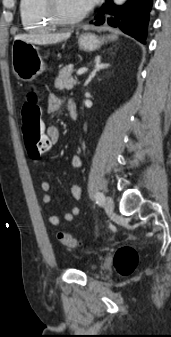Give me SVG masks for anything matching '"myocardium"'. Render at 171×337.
Returning <instances> with one entry per match:
<instances>
[{
	"label": "myocardium",
	"mask_w": 171,
	"mask_h": 337,
	"mask_svg": "<svg viewBox=\"0 0 171 337\" xmlns=\"http://www.w3.org/2000/svg\"><path fill=\"white\" fill-rule=\"evenodd\" d=\"M45 7L52 21L59 25H70L78 23L83 20L87 15V11L85 10L75 16H66L60 8L59 0H45Z\"/></svg>",
	"instance_id": "1"
}]
</instances>
